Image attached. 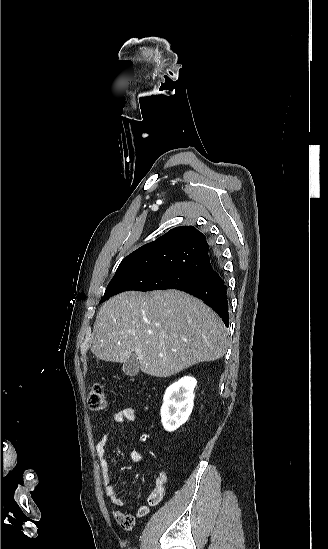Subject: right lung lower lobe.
<instances>
[{"instance_id": "98d812e1", "label": "right lung lower lobe", "mask_w": 328, "mask_h": 549, "mask_svg": "<svg viewBox=\"0 0 328 549\" xmlns=\"http://www.w3.org/2000/svg\"><path fill=\"white\" fill-rule=\"evenodd\" d=\"M182 290L203 300L222 318L226 327L229 326L227 287L219 276Z\"/></svg>"}]
</instances>
